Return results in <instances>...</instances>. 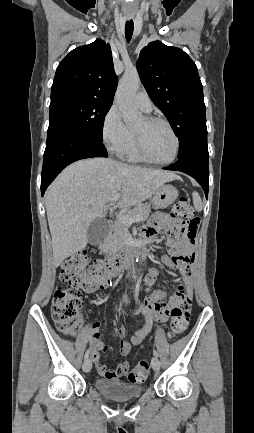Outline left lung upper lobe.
<instances>
[{
    "label": "left lung upper lobe",
    "instance_id": "5c2ea615",
    "mask_svg": "<svg viewBox=\"0 0 254 433\" xmlns=\"http://www.w3.org/2000/svg\"><path fill=\"white\" fill-rule=\"evenodd\" d=\"M141 81L178 136L179 158L207 150L203 86L192 59L181 49L154 41L137 61Z\"/></svg>",
    "mask_w": 254,
    "mask_h": 433
}]
</instances>
